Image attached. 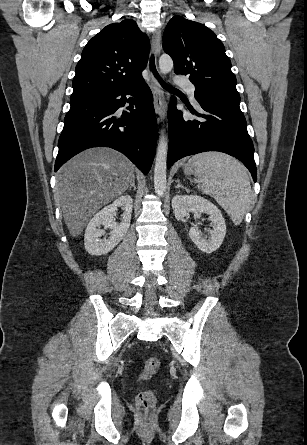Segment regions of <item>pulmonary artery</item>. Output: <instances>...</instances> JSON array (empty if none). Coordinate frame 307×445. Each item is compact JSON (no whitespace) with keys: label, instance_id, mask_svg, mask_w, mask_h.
<instances>
[{"label":"pulmonary artery","instance_id":"1","mask_svg":"<svg viewBox=\"0 0 307 445\" xmlns=\"http://www.w3.org/2000/svg\"><path fill=\"white\" fill-rule=\"evenodd\" d=\"M175 81L179 82L178 83L179 90H192L193 88L192 81H183L182 77H176ZM191 94L193 95V92Z\"/></svg>","mask_w":307,"mask_h":445}]
</instances>
